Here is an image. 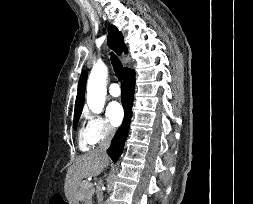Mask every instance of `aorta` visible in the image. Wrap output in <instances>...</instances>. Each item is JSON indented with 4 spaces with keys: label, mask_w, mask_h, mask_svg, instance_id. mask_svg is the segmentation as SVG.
<instances>
[{
    "label": "aorta",
    "mask_w": 253,
    "mask_h": 204,
    "mask_svg": "<svg viewBox=\"0 0 253 204\" xmlns=\"http://www.w3.org/2000/svg\"><path fill=\"white\" fill-rule=\"evenodd\" d=\"M108 69L102 63L93 66L87 83V104L94 113H101L105 104Z\"/></svg>",
    "instance_id": "obj_1"
}]
</instances>
